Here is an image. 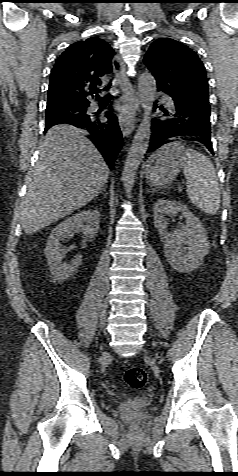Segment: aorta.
<instances>
[{"mask_svg": "<svg viewBox=\"0 0 238 476\" xmlns=\"http://www.w3.org/2000/svg\"><path fill=\"white\" fill-rule=\"evenodd\" d=\"M140 102L144 110L143 118L136 131L125 160L122 181L126 196L130 198L137 169L148 149L151 137V111L156 95V81L150 73H142L138 78Z\"/></svg>", "mask_w": 238, "mask_h": 476, "instance_id": "762f6f07", "label": "aorta"}]
</instances>
